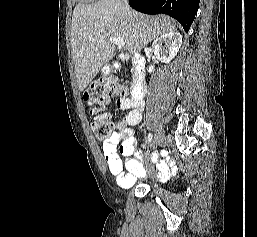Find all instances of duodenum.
Here are the masks:
<instances>
[{"label":"duodenum","instance_id":"obj_1","mask_svg":"<svg viewBox=\"0 0 257 237\" xmlns=\"http://www.w3.org/2000/svg\"><path fill=\"white\" fill-rule=\"evenodd\" d=\"M128 58V55L124 56ZM133 63V76L131 84V97L135 100L142 99L146 92L145 59L138 54L131 56Z\"/></svg>","mask_w":257,"mask_h":237}]
</instances>
